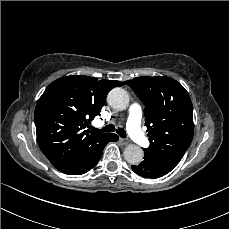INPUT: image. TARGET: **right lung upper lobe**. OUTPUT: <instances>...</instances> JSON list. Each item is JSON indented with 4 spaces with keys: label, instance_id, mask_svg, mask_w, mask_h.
<instances>
[{
    "label": "right lung upper lobe",
    "instance_id": "right-lung-upper-lobe-1",
    "mask_svg": "<svg viewBox=\"0 0 229 229\" xmlns=\"http://www.w3.org/2000/svg\"><path fill=\"white\" fill-rule=\"evenodd\" d=\"M119 81L89 76H66L52 82L35 108L40 149L51 164L66 172L100 142L104 133L85 130L106 102L108 92Z\"/></svg>",
    "mask_w": 229,
    "mask_h": 229
}]
</instances>
